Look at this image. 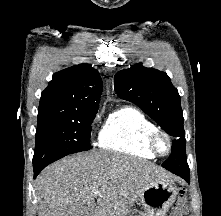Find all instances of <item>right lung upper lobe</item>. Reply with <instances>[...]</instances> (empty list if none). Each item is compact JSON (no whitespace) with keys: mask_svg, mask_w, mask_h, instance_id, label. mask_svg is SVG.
<instances>
[{"mask_svg":"<svg viewBox=\"0 0 221 216\" xmlns=\"http://www.w3.org/2000/svg\"><path fill=\"white\" fill-rule=\"evenodd\" d=\"M102 86L98 71L89 64H79L57 72L41 94L38 123L97 111Z\"/></svg>","mask_w":221,"mask_h":216,"instance_id":"right-lung-upper-lobe-1","label":"right lung upper lobe"}]
</instances>
